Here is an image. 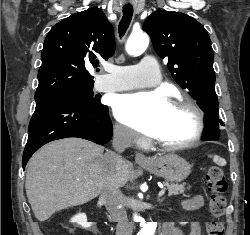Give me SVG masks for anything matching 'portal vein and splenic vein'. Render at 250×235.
Returning <instances> with one entry per match:
<instances>
[{
	"instance_id": "1",
	"label": "portal vein and splenic vein",
	"mask_w": 250,
	"mask_h": 235,
	"mask_svg": "<svg viewBox=\"0 0 250 235\" xmlns=\"http://www.w3.org/2000/svg\"><path fill=\"white\" fill-rule=\"evenodd\" d=\"M165 193V190H161L158 194L159 197H161Z\"/></svg>"
}]
</instances>
